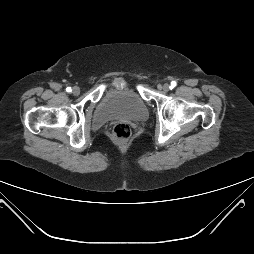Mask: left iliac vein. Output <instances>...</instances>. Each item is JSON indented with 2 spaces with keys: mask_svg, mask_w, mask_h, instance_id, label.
I'll use <instances>...</instances> for the list:
<instances>
[{
  "mask_svg": "<svg viewBox=\"0 0 254 254\" xmlns=\"http://www.w3.org/2000/svg\"><path fill=\"white\" fill-rule=\"evenodd\" d=\"M170 90V85L164 84L163 85V91L168 92Z\"/></svg>",
  "mask_w": 254,
  "mask_h": 254,
  "instance_id": "left-iliac-vein-1",
  "label": "left iliac vein"
}]
</instances>
